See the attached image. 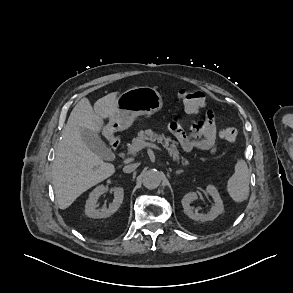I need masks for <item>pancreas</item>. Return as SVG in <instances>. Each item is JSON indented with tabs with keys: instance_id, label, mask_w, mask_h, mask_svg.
<instances>
[{
	"instance_id": "1",
	"label": "pancreas",
	"mask_w": 293,
	"mask_h": 293,
	"mask_svg": "<svg viewBox=\"0 0 293 293\" xmlns=\"http://www.w3.org/2000/svg\"><path fill=\"white\" fill-rule=\"evenodd\" d=\"M146 141H157L168 151V154L170 157H172L173 161L177 163L181 162L183 166L189 165V161L183 156H180V151L177 149L178 143L176 141L169 137L166 138L163 134L154 133L151 129L140 131L138 133V136L132 140L131 144L128 145V153L135 154V152L132 151L133 147L141 142Z\"/></svg>"
}]
</instances>
